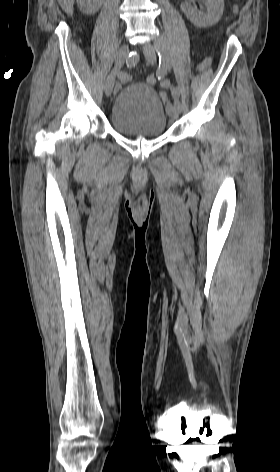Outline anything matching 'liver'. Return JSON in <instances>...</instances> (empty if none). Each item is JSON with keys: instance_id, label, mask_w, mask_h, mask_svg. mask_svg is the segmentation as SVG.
<instances>
[{"instance_id": "liver-1", "label": "liver", "mask_w": 280, "mask_h": 472, "mask_svg": "<svg viewBox=\"0 0 280 472\" xmlns=\"http://www.w3.org/2000/svg\"><path fill=\"white\" fill-rule=\"evenodd\" d=\"M61 5V8L67 13L68 15L73 14V2L74 0H58Z\"/></svg>"}]
</instances>
